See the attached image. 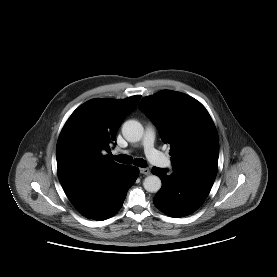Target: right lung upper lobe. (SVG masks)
Instances as JSON below:
<instances>
[{"instance_id": "obj_1", "label": "right lung upper lobe", "mask_w": 277, "mask_h": 277, "mask_svg": "<svg viewBox=\"0 0 277 277\" xmlns=\"http://www.w3.org/2000/svg\"><path fill=\"white\" fill-rule=\"evenodd\" d=\"M140 98L137 95L120 100L92 99L69 117L56 148L58 178L67 196L120 166L103 152H110L117 130Z\"/></svg>"}]
</instances>
